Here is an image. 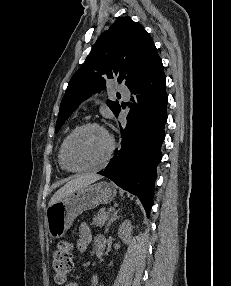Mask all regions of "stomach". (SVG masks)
I'll list each match as a JSON object with an SVG mask.
<instances>
[{
    "mask_svg": "<svg viewBox=\"0 0 231 286\" xmlns=\"http://www.w3.org/2000/svg\"><path fill=\"white\" fill-rule=\"evenodd\" d=\"M116 195L113 184L101 181L75 190L46 209V228L51 239H60L84 211L110 203Z\"/></svg>",
    "mask_w": 231,
    "mask_h": 286,
    "instance_id": "1",
    "label": "stomach"
}]
</instances>
